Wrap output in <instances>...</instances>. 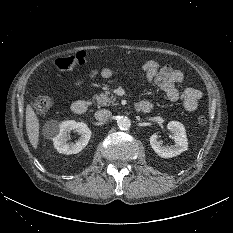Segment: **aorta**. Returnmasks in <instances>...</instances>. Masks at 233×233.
Here are the masks:
<instances>
[{"label":"aorta","instance_id":"aorta-1","mask_svg":"<svg viewBox=\"0 0 233 233\" xmlns=\"http://www.w3.org/2000/svg\"><path fill=\"white\" fill-rule=\"evenodd\" d=\"M117 125L121 130H128L131 126V120L128 117H119L117 120Z\"/></svg>","mask_w":233,"mask_h":233}]
</instances>
